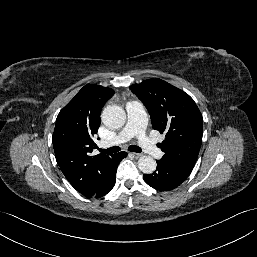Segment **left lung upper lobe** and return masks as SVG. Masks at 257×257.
Returning <instances> with one entry per match:
<instances>
[{
  "mask_svg": "<svg viewBox=\"0 0 257 257\" xmlns=\"http://www.w3.org/2000/svg\"><path fill=\"white\" fill-rule=\"evenodd\" d=\"M130 89L146 106L153 129L165 134L159 144L161 158L178 168L192 171L202 144V115L184 91L161 79L133 84Z\"/></svg>",
  "mask_w": 257,
  "mask_h": 257,
  "instance_id": "obj_1",
  "label": "left lung upper lobe"
}]
</instances>
